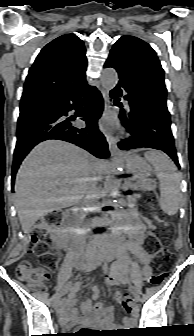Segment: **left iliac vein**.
Listing matches in <instances>:
<instances>
[{
	"label": "left iliac vein",
	"instance_id": "obj_1",
	"mask_svg": "<svg viewBox=\"0 0 194 336\" xmlns=\"http://www.w3.org/2000/svg\"><path fill=\"white\" fill-rule=\"evenodd\" d=\"M133 288V291L134 292H131L133 295H135V298H134V300L136 301V302H139L140 301V296L139 295H136V290H135V288L134 287H132Z\"/></svg>",
	"mask_w": 194,
	"mask_h": 336
}]
</instances>
